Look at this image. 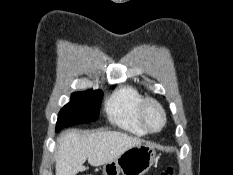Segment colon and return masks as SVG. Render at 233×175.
<instances>
[{"mask_svg": "<svg viewBox=\"0 0 233 175\" xmlns=\"http://www.w3.org/2000/svg\"><path fill=\"white\" fill-rule=\"evenodd\" d=\"M160 175H175V169L173 166H169Z\"/></svg>", "mask_w": 233, "mask_h": 175, "instance_id": "1", "label": "colon"}]
</instances>
